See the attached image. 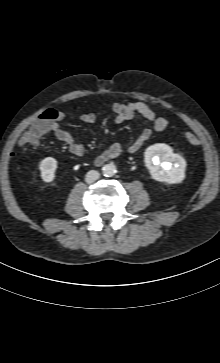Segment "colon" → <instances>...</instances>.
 I'll return each mask as SVG.
<instances>
[{"label": "colon", "mask_w": 220, "mask_h": 363, "mask_svg": "<svg viewBox=\"0 0 220 363\" xmlns=\"http://www.w3.org/2000/svg\"><path fill=\"white\" fill-rule=\"evenodd\" d=\"M58 119V112L53 108L43 110L40 115L32 121L26 132L24 139L26 144H33L37 142L43 135H45L52 127V124ZM186 141L191 145L199 144L198 137L192 133L185 134Z\"/></svg>", "instance_id": "obj_1"}]
</instances>
